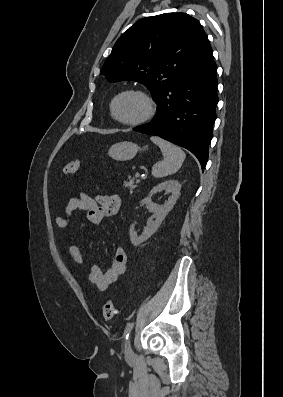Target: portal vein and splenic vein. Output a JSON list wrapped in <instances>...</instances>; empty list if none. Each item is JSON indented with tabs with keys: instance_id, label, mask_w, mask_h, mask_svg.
<instances>
[{
	"instance_id": "portal-vein-and-splenic-vein-1",
	"label": "portal vein and splenic vein",
	"mask_w": 283,
	"mask_h": 397,
	"mask_svg": "<svg viewBox=\"0 0 283 397\" xmlns=\"http://www.w3.org/2000/svg\"><path fill=\"white\" fill-rule=\"evenodd\" d=\"M135 177L139 178L140 177V173L139 172L135 173Z\"/></svg>"
}]
</instances>
